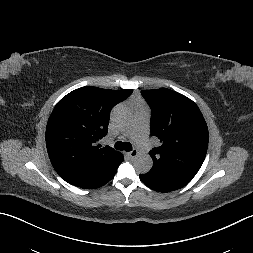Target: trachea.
Listing matches in <instances>:
<instances>
[{
  "label": "trachea",
  "instance_id": "trachea-1",
  "mask_svg": "<svg viewBox=\"0 0 253 253\" xmlns=\"http://www.w3.org/2000/svg\"><path fill=\"white\" fill-rule=\"evenodd\" d=\"M115 148L117 150H121V151H123V150H125V151H131L132 150V145L129 142H125L124 143V142L118 141L115 144Z\"/></svg>",
  "mask_w": 253,
  "mask_h": 253
}]
</instances>
